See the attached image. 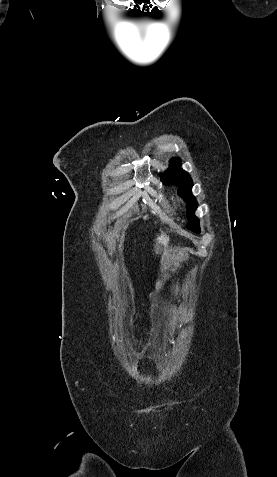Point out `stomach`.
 <instances>
[{
    "label": "stomach",
    "mask_w": 277,
    "mask_h": 477,
    "mask_svg": "<svg viewBox=\"0 0 277 477\" xmlns=\"http://www.w3.org/2000/svg\"><path fill=\"white\" fill-rule=\"evenodd\" d=\"M170 252H171L170 249H165L164 251V254L162 256V272L166 271L170 266V259H171ZM163 277H165V275L162 276V278H159L156 282L157 290H160L163 285Z\"/></svg>",
    "instance_id": "1"
}]
</instances>
